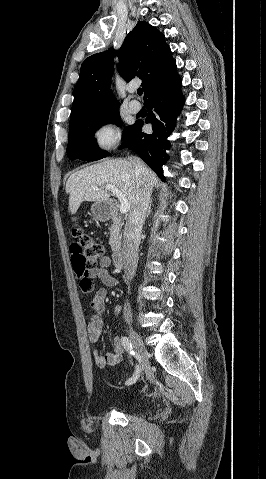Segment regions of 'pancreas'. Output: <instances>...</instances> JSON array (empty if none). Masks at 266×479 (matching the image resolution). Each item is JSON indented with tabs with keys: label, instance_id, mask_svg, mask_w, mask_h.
Here are the masks:
<instances>
[{
	"label": "pancreas",
	"instance_id": "cf45deb5",
	"mask_svg": "<svg viewBox=\"0 0 266 479\" xmlns=\"http://www.w3.org/2000/svg\"><path fill=\"white\" fill-rule=\"evenodd\" d=\"M122 233L121 222L117 217L113 218V222L110 227L109 243L113 252H117L121 245Z\"/></svg>",
	"mask_w": 266,
	"mask_h": 479
}]
</instances>
